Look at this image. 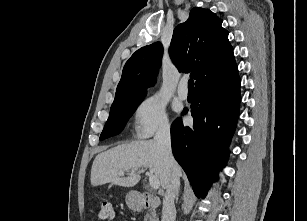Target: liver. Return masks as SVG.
<instances>
[{
    "label": "liver",
    "mask_w": 307,
    "mask_h": 221,
    "mask_svg": "<svg viewBox=\"0 0 307 221\" xmlns=\"http://www.w3.org/2000/svg\"><path fill=\"white\" fill-rule=\"evenodd\" d=\"M147 168H151L162 188H167L169 167L163 151L155 140H137L121 144L95 157L91 169V185L112 183L122 187H133L140 181V172ZM129 171L131 174L127 177L119 174ZM176 172L179 177L182 175L178 164Z\"/></svg>",
    "instance_id": "1"
}]
</instances>
